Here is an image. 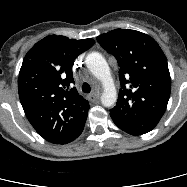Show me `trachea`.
I'll list each match as a JSON object with an SVG mask.
<instances>
[{
	"instance_id": "obj_1",
	"label": "trachea",
	"mask_w": 187,
	"mask_h": 187,
	"mask_svg": "<svg viewBox=\"0 0 187 187\" xmlns=\"http://www.w3.org/2000/svg\"><path fill=\"white\" fill-rule=\"evenodd\" d=\"M82 91L85 93H90V91H91L90 85L88 83H84L82 86Z\"/></svg>"
}]
</instances>
